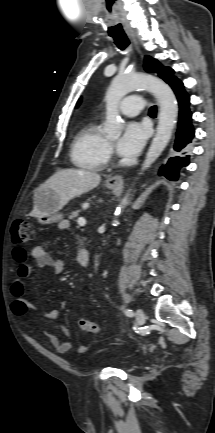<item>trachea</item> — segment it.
<instances>
[{"instance_id":"1","label":"trachea","mask_w":215,"mask_h":433,"mask_svg":"<svg viewBox=\"0 0 215 433\" xmlns=\"http://www.w3.org/2000/svg\"><path fill=\"white\" fill-rule=\"evenodd\" d=\"M112 38L114 39L117 47L121 50H124L129 45V40L126 35H116V36H112ZM156 112H157L156 106H151L149 109V113L156 114Z\"/></svg>"}]
</instances>
